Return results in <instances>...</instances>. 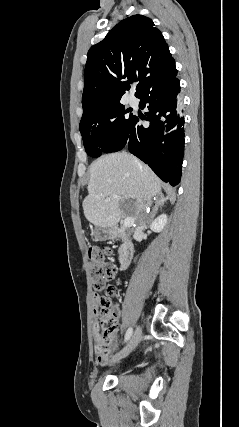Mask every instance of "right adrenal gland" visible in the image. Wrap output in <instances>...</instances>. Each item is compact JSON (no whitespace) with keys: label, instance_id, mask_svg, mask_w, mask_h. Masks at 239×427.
<instances>
[{"label":"right adrenal gland","instance_id":"1","mask_svg":"<svg viewBox=\"0 0 239 427\" xmlns=\"http://www.w3.org/2000/svg\"><path fill=\"white\" fill-rule=\"evenodd\" d=\"M157 207H158V204H156V206H155V210H157Z\"/></svg>","mask_w":239,"mask_h":427}]
</instances>
